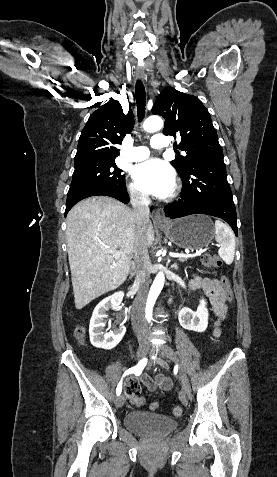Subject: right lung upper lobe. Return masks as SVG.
<instances>
[{
	"mask_svg": "<svg viewBox=\"0 0 277 477\" xmlns=\"http://www.w3.org/2000/svg\"><path fill=\"white\" fill-rule=\"evenodd\" d=\"M134 117L123 113L120 103L112 98L94 111L83 128L77 147L74 167L109 162L119 155L114 144H119L132 131Z\"/></svg>",
	"mask_w": 277,
	"mask_h": 477,
	"instance_id": "cb5924a9",
	"label": "right lung upper lobe"
}]
</instances>
